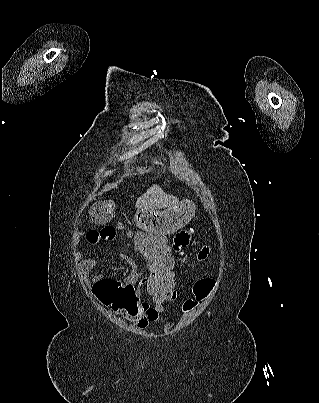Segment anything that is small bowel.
I'll return each mask as SVG.
<instances>
[{"label": "small bowel", "mask_w": 319, "mask_h": 403, "mask_svg": "<svg viewBox=\"0 0 319 403\" xmlns=\"http://www.w3.org/2000/svg\"><path fill=\"white\" fill-rule=\"evenodd\" d=\"M117 228L115 224H102L100 229L85 230L83 235L87 239V246L90 249H111L114 243L113 238H118L119 230H123L124 227L120 224ZM191 242L192 237L185 230L176 232L172 238L174 247L179 250L188 248ZM122 259L132 263V260L126 256H122ZM198 260L204 261L202 258ZM94 267L95 260L92 257H85L77 262L79 274L83 279L89 276ZM127 282L125 279H111L103 277L102 274H95L91 279L90 293L102 309H108L109 315H116L117 319H129L138 329L143 330L158 321L164 311V304L143 303L137 292L138 288H146V282H149V279L140 278L136 270L127 277ZM175 297L174 289V299Z\"/></svg>", "instance_id": "small-bowel-1"}]
</instances>
